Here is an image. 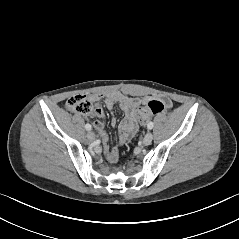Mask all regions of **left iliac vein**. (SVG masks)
<instances>
[{"label":"left iliac vein","instance_id":"1","mask_svg":"<svg viewBox=\"0 0 239 239\" xmlns=\"http://www.w3.org/2000/svg\"><path fill=\"white\" fill-rule=\"evenodd\" d=\"M152 139H153V134L151 132H148L143 139V144L145 146L151 144Z\"/></svg>","mask_w":239,"mask_h":239}]
</instances>
